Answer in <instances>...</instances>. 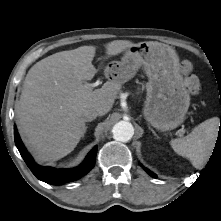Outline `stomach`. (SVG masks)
Returning <instances> with one entry per match:
<instances>
[{"mask_svg":"<svg viewBox=\"0 0 221 221\" xmlns=\"http://www.w3.org/2000/svg\"><path fill=\"white\" fill-rule=\"evenodd\" d=\"M142 67L146 84L144 118L156 129L179 126L190 105V95L180 74L179 57L172 46L160 42H140L126 49L121 61L107 64L105 72L113 81L125 83Z\"/></svg>","mask_w":221,"mask_h":221,"instance_id":"0dacf381","label":"stomach"}]
</instances>
